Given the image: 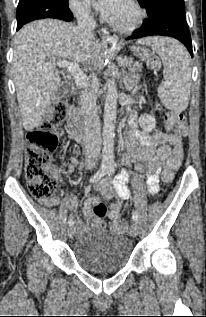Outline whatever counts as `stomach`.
<instances>
[{"mask_svg": "<svg viewBox=\"0 0 206 317\" xmlns=\"http://www.w3.org/2000/svg\"><path fill=\"white\" fill-rule=\"evenodd\" d=\"M134 54L139 57L141 60L148 59L150 57L149 50L144 47L133 48Z\"/></svg>", "mask_w": 206, "mask_h": 317, "instance_id": "stomach-1", "label": "stomach"}]
</instances>
